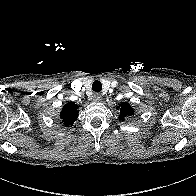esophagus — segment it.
Returning a JSON list of instances; mask_svg holds the SVG:
<instances>
[{"instance_id": "esophagus-1", "label": "esophagus", "mask_w": 196, "mask_h": 196, "mask_svg": "<svg viewBox=\"0 0 196 196\" xmlns=\"http://www.w3.org/2000/svg\"><path fill=\"white\" fill-rule=\"evenodd\" d=\"M101 99H102L101 94H99V93H94L93 94V100L94 101L99 102V101H101Z\"/></svg>"}]
</instances>
